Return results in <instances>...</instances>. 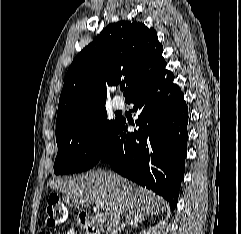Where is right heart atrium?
Segmentation results:
<instances>
[{"instance_id": "obj_1", "label": "right heart atrium", "mask_w": 241, "mask_h": 234, "mask_svg": "<svg viewBox=\"0 0 241 234\" xmlns=\"http://www.w3.org/2000/svg\"><path fill=\"white\" fill-rule=\"evenodd\" d=\"M87 144L91 149H94L97 147L98 139H97L96 133L92 132L87 136Z\"/></svg>"}]
</instances>
